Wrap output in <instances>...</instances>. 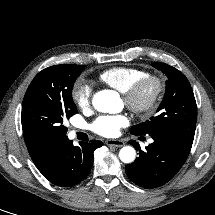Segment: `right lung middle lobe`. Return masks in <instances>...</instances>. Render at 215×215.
<instances>
[{
	"label": "right lung middle lobe",
	"instance_id": "obj_1",
	"mask_svg": "<svg viewBox=\"0 0 215 215\" xmlns=\"http://www.w3.org/2000/svg\"><path fill=\"white\" fill-rule=\"evenodd\" d=\"M84 68L85 65H55L36 75L22 104L25 136L42 144L61 143L67 139L63 122L77 113L72 88Z\"/></svg>",
	"mask_w": 215,
	"mask_h": 215
}]
</instances>
